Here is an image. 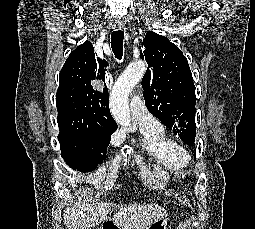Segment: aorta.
I'll use <instances>...</instances> for the list:
<instances>
[{
  "mask_svg": "<svg viewBox=\"0 0 255 229\" xmlns=\"http://www.w3.org/2000/svg\"><path fill=\"white\" fill-rule=\"evenodd\" d=\"M146 71L143 61H135L128 65L126 70L115 82L110 96V110L115 121L123 127H130L131 116L128 105V95L139 82Z\"/></svg>",
  "mask_w": 255,
  "mask_h": 229,
  "instance_id": "1",
  "label": "aorta"
}]
</instances>
